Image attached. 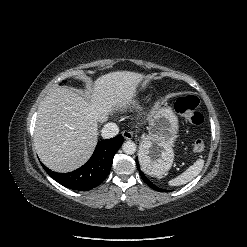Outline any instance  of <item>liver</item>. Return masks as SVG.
Listing matches in <instances>:
<instances>
[{"label":"liver","instance_id":"6515ba94","mask_svg":"<svg viewBox=\"0 0 247 247\" xmlns=\"http://www.w3.org/2000/svg\"><path fill=\"white\" fill-rule=\"evenodd\" d=\"M145 76L115 71L97 78L83 97L56 88L42 101L35 127V149L51 170L70 172L83 165L97 143L98 122L131 103Z\"/></svg>","mask_w":247,"mask_h":247}]
</instances>
